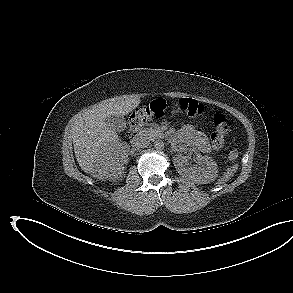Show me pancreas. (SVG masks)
<instances>
[{"label": "pancreas", "mask_w": 293, "mask_h": 293, "mask_svg": "<svg viewBox=\"0 0 293 293\" xmlns=\"http://www.w3.org/2000/svg\"><path fill=\"white\" fill-rule=\"evenodd\" d=\"M142 134L150 140L164 137V133L159 126L144 129Z\"/></svg>", "instance_id": "1"}]
</instances>
